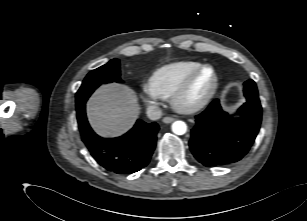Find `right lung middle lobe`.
<instances>
[{
    "mask_svg": "<svg viewBox=\"0 0 307 221\" xmlns=\"http://www.w3.org/2000/svg\"><path fill=\"white\" fill-rule=\"evenodd\" d=\"M118 82L120 79V63L113 59L107 64L91 71L84 79L80 89L76 93V107H82L93 91L103 83Z\"/></svg>",
    "mask_w": 307,
    "mask_h": 221,
    "instance_id": "1",
    "label": "right lung middle lobe"
}]
</instances>
